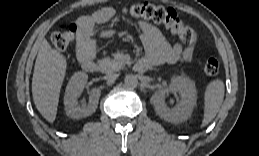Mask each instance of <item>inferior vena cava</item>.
<instances>
[{
  "mask_svg": "<svg viewBox=\"0 0 259 156\" xmlns=\"http://www.w3.org/2000/svg\"><path fill=\"white\" fill-rule=\"evenodd\" d=\"M108 82H114L118 78V74L110 73L104 77Z\"/></svg>",
  "mask_w": 259,
  "mask_h": 156,
  "instance_id": "602c4592",
  "label": "inferior vena cava"
}]
</instances>
